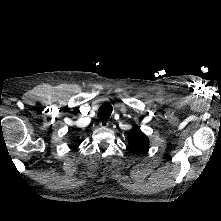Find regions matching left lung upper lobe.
Here are the masks:
<instances>
[{
    "mask_svg": "<svg viewBox=\"0 0 221 221\" xmlns=\"http://www.w3.org/2000/svg\"><path fill=\"white\" fill-rule=\"evenodd\" d=\"M128 142L130 149L136 152H143L149 145L147 136L138 128H134L128 135Z\"/></svg>",
    "mask_w": 221,
    "mask_h": 221,
    "instance_id": "1",
    "label": "left lung upper lobe"
}]
</instances>
